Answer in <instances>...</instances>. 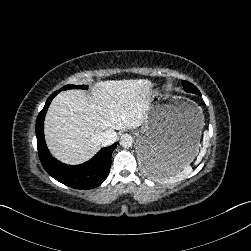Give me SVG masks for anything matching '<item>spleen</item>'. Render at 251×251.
Segmentation results:
<instances>
[{
    "mask_svg": "<svg viewBox=\"0 0 251 251\" xmlns=\"http://www.w3.org/2000/svg\"><path fill=\"white\" fill-rule=\"evenodd\" d=\"M210 137L208 130L203 131V139H202V146L200 147L198 156L194 161V165H198L202 159L204 158L205 154L207 153V149L209 147ZM193 172L192 167L189 164H185L181 170L176 173H167L164 171L163 168L154 167L148 168L146 173L150 176L155 178L156 180H161L162 182H173L176 183L178 181H182L183 179L187 178ZM162 178V179H160Z\"/></svg>",
    "mask_w": 251,
    "mask_h": 251,
    "instance_id": "spleen-1",
    "label": "spleen"
}]
</instances>
